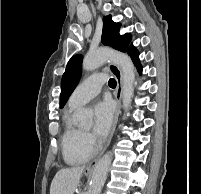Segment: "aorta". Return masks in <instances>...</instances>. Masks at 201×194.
<instances>
[{"instance_id":"obj_1","label":"aorta","mask_w":201,"mask_h":194,"mask_svg":"<svg viewBox=\"0 0 201 194\" xmlns=\"http://www.w3.org/2000/svg\"><path fill=\"white\" fill-rule=\"evenodd\" d=\"M107 61L116 63L122 70V100L123 107L127 110L134 95L135 81L134 65L128 55L112 50L110 48H99L86 54L83 59L82 67L85 71H93ZM92 117V112L87 109H81L76 114L78 123L84 127L91 125ZM111 161L112 153L107 152L97 162L91 180V194H101L111 165Z\"/></svg>"}]
</instances>
